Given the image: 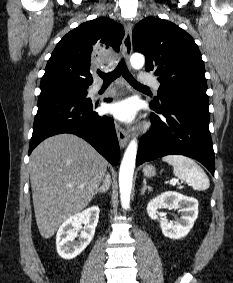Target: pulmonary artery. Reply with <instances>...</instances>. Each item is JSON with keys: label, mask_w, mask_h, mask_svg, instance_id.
I'll return each instance as SVG.
<instances>
[{"label": "pulmonary artery", "mask_w": 233, "mask_h": 283, "mask_svg": "<svg viewBox=\"0 0 233 283\" xmlns=\"http://www.w3.org/2000/svg\"><path fill=\"white\" fill-rule=\"evenodd\" d=\"M140 82L144 85L152 86L155 90H158L160 87V83L158 80L154 77L148 76V75H141L140 76ZM101 89L100 86H96L94 88L95 91H99Z\"/></svg>", "instance_id": "1"}]
</instances>
